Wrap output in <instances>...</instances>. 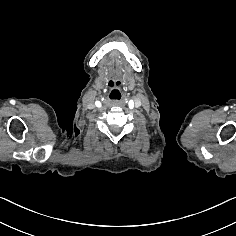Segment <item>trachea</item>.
Returning a JSON list of instances; mask_svg holds the SVG:
<instances>
[{"mask_svg": "<svg viewBox=\"0 0 236 236\" xmlns=\"http://www.w3.org/2000/svg\"><path fill=\"white\" fill-rule=\"evenodd\" d=\"M124 97V92L119 89H113L108 93V99L110 101L118 102Z\"/></svg>", "mask_w": 236, "mask_h": 236, "instance_id": "3493384b", "label": "trachea"}]
</instances>
